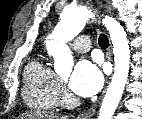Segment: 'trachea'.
<instances>
[{
  "mask_svg": "<svg viewBox=\"0 0 142 119\" xmlns=\"http://www.w3.org/2000/svg\"><path fill=\"white\" fill-rule=\"evenodd\" d=\"M98 42H99V45L102 47V48H107L108 45H109V40H108V37L104 34H101L99 36V39H98Z\"/></svg>",
  "mask_w": 142,
  "mask_h": 119,
  "instance_id": "trachea-1",
  "label": "trachea"
}]
</instances>
